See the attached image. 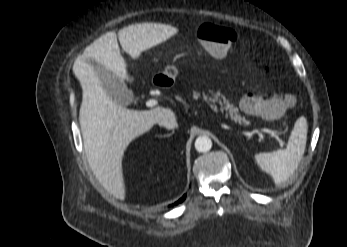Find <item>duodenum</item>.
<instances>
[{
	"instance_id": "410a0bca",
	"label": "duodenum",
	"mask_w": 347,
	"mask_h": 247,
	"mask_svg": "<svg viewBox=\"0 0 347 247\" xmlns=\"http://www.w3.org/2000/svg\"><path fill=\"white\" fill-rule=\"evenodd\" d=\"M153 84L155 86H163L164 85L163 79L160 76H157L153 79Z\"/></svg>"
}]
</instances>
